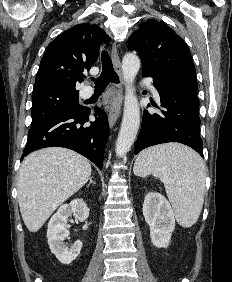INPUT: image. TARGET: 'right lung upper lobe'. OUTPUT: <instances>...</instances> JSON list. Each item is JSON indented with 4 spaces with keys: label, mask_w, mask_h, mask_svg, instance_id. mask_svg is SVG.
<instances>
[{
    "label": "right lung upper lobe",
    "mask_w": 232,
    "mask_h": 282,
    "mask_svg": "<svg viewBox=\"0 0 232 282\" xmlns=\"http://www.w3.org/2000/svg\"><path fill=\"white\" fill-rule=\"evenodd\" d=\"M109 40L97 25L79 24L61 33L45 50L33 92L50 89L79 92L75 86L82 81V72L91 68L100 46Z\"/></svg>",
    "instance_id": "obj_1"
}]
</instances>
